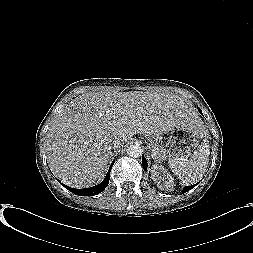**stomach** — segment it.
<instances>
[{"label": "stomach", "instance_id": "stomach-1", "mask_svg": "<svg viewBox=\"0 0 253 253\" xmlns=\"http://www.w3.org/2000/svg\"><path fill=\"white\" fill-rule=\"evenodd\" d=\"M203 132L188 123H178L168 130L148 137L151 155L158 161L183 157L196 148Z\"/></svg>", "mask_w": 253, "mask_h": 253}]
</instances>
